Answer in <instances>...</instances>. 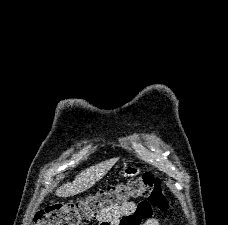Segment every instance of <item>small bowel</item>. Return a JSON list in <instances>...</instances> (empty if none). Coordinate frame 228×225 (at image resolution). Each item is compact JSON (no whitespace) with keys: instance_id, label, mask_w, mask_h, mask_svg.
<instances>
[{"instance_id":"c3829d8e","label":"small bowel","mask_w":228,"mask_h":225,"mask_svg":"<svg viewBox=\"0 0 228 225\" xmlns=\"http://www.w3.org/2000/svg\"><path fill=\"white\" fill-rule=\"evenodd\" d=\"M147 203V199H140V204L137 205L134 202H126L119 207L108 209L97 218V223L98 225H142V223L161 225L160 218L152 217V205Z\"/></svg>"}]
</instances>
